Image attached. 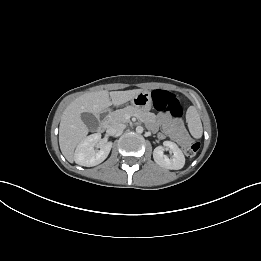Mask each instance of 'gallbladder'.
<instances>
[{
  "label": "gallbladder",
  "mask_w": 261,
  "mask_h": 261,
  "mask_svg": "<svg viewBox=\"0 0 261 261\" xmlns=\"http://www.w3.org/2000/svg\"><path fill=\"white\" fill-rule=\"evenodd\" d=\"M81 119L89 130L95 131L99 126L97 117L92 113H82Z\"/></svg>",
  "instance_id": "bac80fb5"
}]
</instances>
